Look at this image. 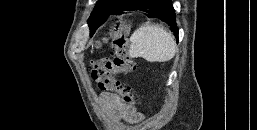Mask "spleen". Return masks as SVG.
Segmentation results:
<instances>
[{
    "mask_svg": "<svg viewBox=\"0 0 257 130\" xmlns=\"http://www.w3.org/2000/svg\"><path fill=\"white\" fill-rule=\"evenodd\" d=\"M176 53V43L170 33L159 25L145 24L130 37L129 56L148 62H167Z\"/></svg>",
    "mask_w": 257,
    "mask_h": 130,
    "instance_id": "1",
    "label": "spleen"
}]
</instances>
